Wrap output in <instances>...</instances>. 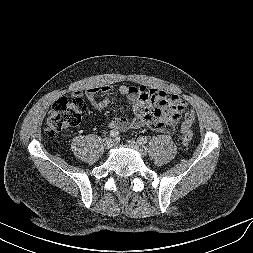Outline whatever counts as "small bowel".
<instances>
[{"label":"small bowel","instance_id":"c3829d8e","mask_svg":"<svg viewBox=\"0 0 253 253\" xmlns=\"http://www.w3.org/2000/svg\"><path fill=\"white\" fill-rule=\"evenodd\" d=\"M108 85L94 86L84 93L74 91L73 97H83L89 101L93 109L101 111L109 106L112 97L108 95ZM98 94L106 96L98 100ZM116 95L125 97L133 112V118L114 117L109 127L113 130L127 131L130 129L148 127L153 131L170 132L179 123L181 131H188L194 121V113L176 94L158 88L144 86L122 85L116 90ZM187 113V114H186Z\"/></svg>","mask_w":253,"mask_h":253}]
</instances>
